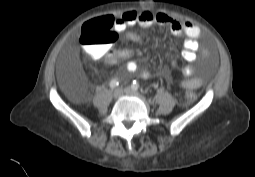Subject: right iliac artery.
<instances>
[{"instance_id": "1", "label": "right iliac artery", "mask_w": 255, "mask_h": 177, "mask_svg": "<svg viewBox=\"0 0 255 177\" xmlns=\"http://www.w3.org/2000/svg\"><path fill=\"white\" fill-rule=\"evenodd\" d=\"M109 85H110V88L114 89L119 85V81L117 79H113L111 80Z\"/></svg>"}]
</instances>
